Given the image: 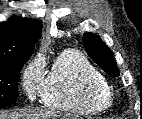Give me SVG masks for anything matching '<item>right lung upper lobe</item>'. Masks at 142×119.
Listing matches in <instances>:
<instances>
[{"mask_svg":"<svg viewBox=\"0 0 142 119\" xmlns=\"http://www.w3.org/2000/svg\"><path fill=\"white\" fill-rule=\"evenodd\" d=\"M41 30V22L35 19L13 17L0 22V62L29 58Z\"/></svg>","mask_w":142,"mask_h":119,"instance_id":"1","label":"right lung upper lobe"}]
</instances>
